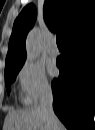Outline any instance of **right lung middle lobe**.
Here are the masks:
<instances>
[{"instance_id":"obj_1","label":"right lung middle lobe","mask_w":95,"mask_h":130,"mask_svg":"<svg viewBox=\"0 0 95 130\" xmlns=\"http://www.w3.org/2000/svg\"><path fill=\"white\" fill-rule=\"evenodd\" d=\"M20 69L21 67L5 70V84L8 93L10 92L11 83L15 80L16 75L18 74Z\"/></svg>"}]
</instances>
